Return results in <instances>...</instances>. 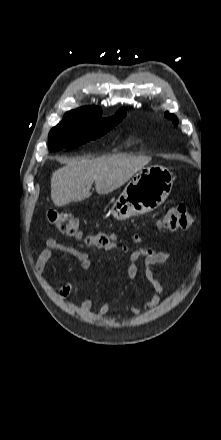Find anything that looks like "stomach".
<instances>
[{
  "label": "stomach",
  "instance_id": "0dacf381",
  "mask_svg": "<svg viewBox=\"0 0 221 440\" xmlns=\"http://www.w3.org/2000/svg\"><path fill=\"white\" fill-rule=\"evenodd\" d=\"M173 180L172 173L162 166L143 168L129 181L114 203L113 217L124 220L156 209L171 192Z\"/></svg>",
  "mask_w": 221,
  "mask_h": 440
}]
</instances>
